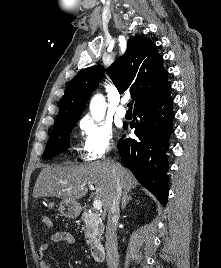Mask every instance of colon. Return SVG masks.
I'll list each match as a JSON object with an SVG mask.
<instances>
[{
    "mask_svg": "<svg viewBox=\"0 0 221 268\" xmlns=\"http://www.w3.org/2000/svg\"><path fill=\"white\" fill-rule=\"evenodd\" d=\"M41 223L47 229H50L53 226V222H52L51 218L48 215H42Z\"/></svg>",
    "mask_w": 221,
    "mask_h": 268,
    "instance_id": "1",
    "label": "colon"
}]
</instances>
